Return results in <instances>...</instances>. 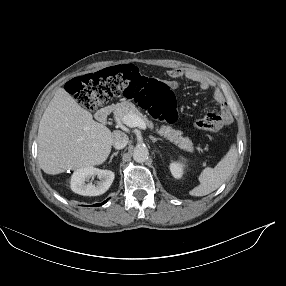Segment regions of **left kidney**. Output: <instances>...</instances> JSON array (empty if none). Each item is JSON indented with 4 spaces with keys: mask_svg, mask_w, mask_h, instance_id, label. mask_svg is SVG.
<instances>
[{
    "mask_svg": "<svg viewBox=\"0 0 286 286\" xmlns=\"http://www.w3.org/2000/svg\"><path fill=\"white\" fill-rule=\"evenodd\" d=\"M170 171L174 178L180 179L183 175V165L178 162H172L170 164Z\"/></svg>",
    "mask_w": 286,
    "mask_h": 286,
    "instance_id": "1",
    "label": "left kidney"
}]
</instances>
